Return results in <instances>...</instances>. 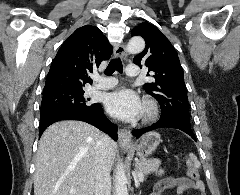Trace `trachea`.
<instances>
[{
  "label": "trachea",
  "instance_id": "trachea-1",
  "mask_svg": "<svg viewBox=\"0 0 240 195\" xmlns=\"http://www.w3.org/2000/svg\"><path fill=\"white\" fill-rule=\"evenodd\" d=\"M115 70L119 73L123 72V65L120 58H115L109 62V65L105 70V75H112Z\"/></svg>",
  "mask_w": 240,
  "mask_h": 195
}]
</instances>
